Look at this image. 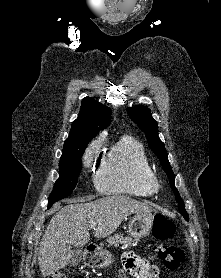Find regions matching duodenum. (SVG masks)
<instances>
[{"instance_id": "obj_1", "label": "duodenum", "mask_w": 221, "mask_h": 278, "mask_svg": "<svg viewBox=\"0 0 221 278\" xmlns=\"http://www.w3.org/2000/svg\"><path fill=\"white\" fill-rule=\"evenodd\" d=\"M97 251V247L94 244H89L86 247V253H87V257L88 258H93V255L95 254V252Z\"/></svg>"}]
</instances>
